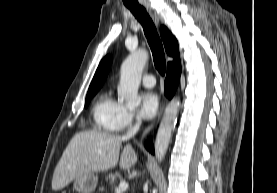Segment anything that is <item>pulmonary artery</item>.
I'll use <instances>...</instances> for the list:
<instances>
[{"label":"pulmonary artery","instance_id":"1","mask_svg":"<svg viewBox=\"0 0 277 193\" xmlns=\"http://www.w3.org/2000/svg\"><path fill=\"white\" fill-rule=\"evenodd\" d=\"M142 83L145 87L152 88L154 87L156 81L153 75L146 74L142 77Z\"/></svg>","mask_w":277,"mask_h":193}]
</instances>
